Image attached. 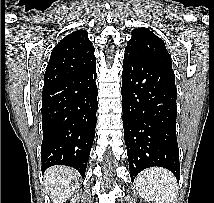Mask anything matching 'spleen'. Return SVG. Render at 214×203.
Returning <instances> with one entry per match:
<instances>
[{
  "label": "spleen",
  "instance_id": "1",
  "mask_svg": "<svg viewBox=\"0 0 214 203\" xmlns=\"http://www.w3.org/2000/svg\"><path fill=\"white\" fill-rule=\"evenodd\" d=\"M139 195L154 203H172L177 182L174 175L163 168H150L141 172L136 180Z\"/></svg>",
  "mask_w": 214,
  "mask_h": 203
}]
</instances>
